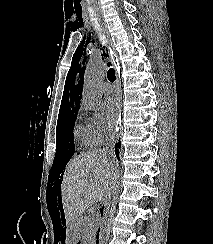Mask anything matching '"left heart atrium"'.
Returning <instances> with one entry per match:
<instances>
[{
	"label": "left heart atrium",
	"mask_w": 213,
	"mask_h": 244,
	"mask_svg": "<svg viewBox=\"0 0 213 244\" xmlns=\"http://www.w3.org/2000/svg\"><path fill=\"white\" fill-rule=\"evenodd\" d=\"M103 112L107 126L109 128H114L120 115V103L118 98H106L103 102Z\"/></svg>",
	"instance_id": "left-heart-atrium-1"
}]
</instances>
